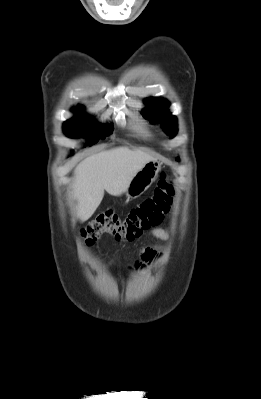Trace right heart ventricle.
I'll list each match as a JSON object with an SVG mask.
<instances>
[{"label":"right heart ventricle","instance_id":"e07e8e85","mask_svg":"<svg viewBox=\"0 0 261 399\" xmlns=\"http://www.w3.org/2000/svg\"><path fill=\"white\" fill-rule=\"evenodd\" d=\"M135 128L138 130V132H139L141 135L147 136V131H146L143 127L136 125Z\"/></svg>","mask_w":261,"mask_h":399}]
</instances>
